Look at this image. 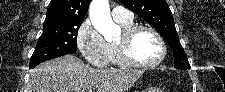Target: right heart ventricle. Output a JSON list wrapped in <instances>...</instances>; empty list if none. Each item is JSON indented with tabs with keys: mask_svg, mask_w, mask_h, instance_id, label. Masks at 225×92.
Wrapping results in <instances>:
<instances>
[{
	"mask_svg": "<svg viewBox=\"0 0 225 92\" xmlns=\"http://www.w3.org/2000/svg\"><path fill=\"white\" fill-rule=\"evenodd\" d=\"M123 29H127L130 26H132V22H117ZM109 49H110V57H111V61L118 66H122L119 56H118V52H117V48H116V43H109Z\"/></svg>",
	"mask_w": 225,
	"mask_h": 92,
	"instance_id": "1",
	"label": "right heart ventricle"
}]
</instances>
